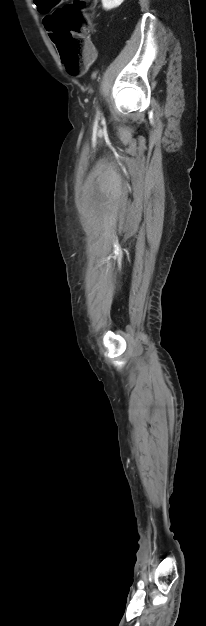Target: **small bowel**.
Segmentation results:
<instances>
[{
    "instance_id": "1",
    "label": "small bowel",
    "mask_w": 206,
    "mask_h": 626,
    "mask_svg": "<svg viewBox=\"0 0 206 626\" xmlns=\"http://www.w3.org/2000/svg\"><path fill=\"white\" fill-rule=\"evenodd\" d=\"M42 1L43 0H37V5H38L39 8H41V2ZM47 18H48V16H46L44 18V25H45L46 30L50 33V30H49V27H48V24H47Z\"/></svg>"
}]
</instances>
